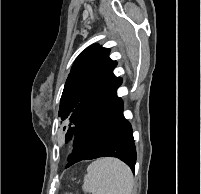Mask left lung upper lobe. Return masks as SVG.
<instances>
[{"mask_svg": "<svg viewBox=\"0 0 201 194\" xmlns=\"http://www.w3.org/2000/svg\"><path fill=\"white\" fill-rule=\"evenodd\" d=\"M109 52L108 48L92 45L74 62L64 86L58 114L67 123L65 138L71 139L122 84V79L113 74L117 63L109 58Z\"/></svg>", "mask_w": 201, "mask_h": 194, "instance_id": "left-lung-upper-lobe-1", "label": "left lung upper lobe"}]
</instances>
